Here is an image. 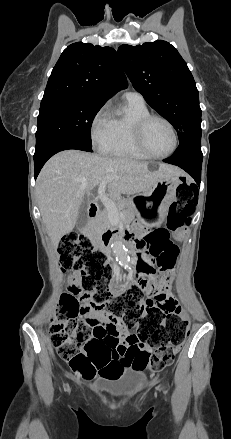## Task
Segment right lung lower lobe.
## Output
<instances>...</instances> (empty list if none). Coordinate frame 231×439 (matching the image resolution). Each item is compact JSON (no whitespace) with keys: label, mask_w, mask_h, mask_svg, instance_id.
Here are the masks:
<instances>
[{"label":"right lung lower lobe","mask_w":231,"mask_h":439,"mask_svg":"<svg viewBox=\"0 0 231 439\" xmlns=\"http://www.w3.org/2000/svg\"><path fill=\"white\" fill-rule=\"evenodd\" d=\"M68 149H77V150L92 152V148H89L77 141L69 140V139H59L54 143L50 144L43 151L34 154L35 178L39 174L45 162L51 156H53L57 152L68 150Z\"/></svg>","instance_id":"obj_1"}]
</instances>
